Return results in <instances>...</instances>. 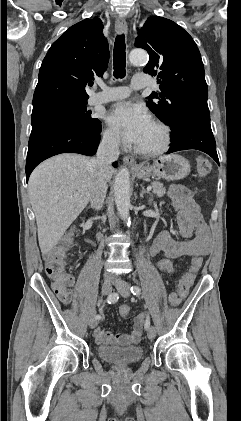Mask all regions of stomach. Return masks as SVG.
Listing matches in <instances>:
<instances>
[{"label":"stomach","mask_w":241,"mask_h":421,"mask_svg":"<svg viewBox=\"0 0 241 421\" xmlns=\"http://www.w3.org/2000/svg\"><path fill=\"white\" fill-rule=\"evenodd\" d=\"M134 173L139 179L155 176L166 180H178L190 173V163L177 154L165 155L156 159L153 164H140Z\"/></svg>","instance_id":"0dacf381"}]
</instances>
